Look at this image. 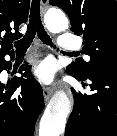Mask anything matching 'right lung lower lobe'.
Wrapping results in <instances>:
<instances>
[{"label":"right lung lower lobe","instance_id":"obj_1","mask_svg":"<svg viewBox=\"0 0 117 136\" xmlns=\"http://www.w3.org/2000/svg\"><path fill=\"white\" fill-rule=\"evenodd\" d=\"M30 67L22 65L18 71L27 76V80L14 77L7 85L0 82V136H33L44 99L40 84L30 74ZM4 69L10 70L11 63L1 57L0 72Z\"/></svg>","mask_w":117,"mask_h":136}]
</instances>
